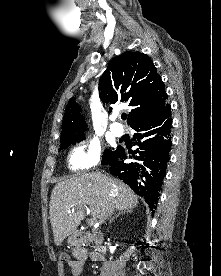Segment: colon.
Returning a JSON list of instances; mask_svg holds the SVG:
<instances>
[{
  "label": "colon",
  "mask_w": 221,
  "mask_h": 276,
  "mask_svg": "<svg viewBox=\"0 0 221 276\" xmlns=\"http://www.w3.org/2000/svg\"><path fill=\"white\" fill-rule=\"evenodd\" d=\"M59 259L62 261V262H67L69 263L71 261V255L69 252H62L59 256Z\"/></svg>",
  "instance_id": "obj_1"
}]
</instances>
